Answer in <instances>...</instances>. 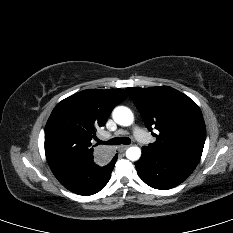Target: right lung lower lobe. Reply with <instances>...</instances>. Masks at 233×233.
Here are the masks:
<instances>
[{
    "label": "right lung lower lobe",
    "instance_id": "1",
    "mask_svg": "<svg viewBox=\"0 0 233 233\" xmlns=\"http://www.w3.org/2000/svg\"><path fill=\"white\" fill-rule=\"evenodd\" d=\"M117 160L76 161L50 166L58 181L68 190L79 195H92L99 192L109 181Z\"/></svg>",
    "mask_w": 233,
    "mask_h": 233
}]
</instances>
